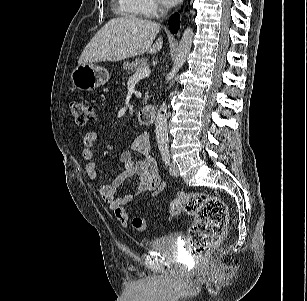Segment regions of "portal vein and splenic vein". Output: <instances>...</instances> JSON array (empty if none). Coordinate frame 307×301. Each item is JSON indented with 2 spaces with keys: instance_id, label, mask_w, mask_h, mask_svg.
Segmentation results:
<instances>
[{
  "instance_id": "18ae733b",
  "label": "portal vein and splenic vein",
  "mask_w": 307,
  "mask_h": 301,
  "mask_svg": "<svg viewBox=\"0 0 307 301\" xmlns=\"http://www.w3.org/2000/svg\"><path fill=\"white\" fill-rule=\"evenodd\" d=\"M151 71L148 67H141L130 77L132 80H139L150 75Z\"/></svg>"
}]
</instances>
